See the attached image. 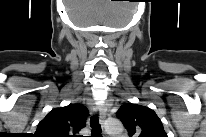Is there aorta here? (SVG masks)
<instances>
[{"label": "aorta", "instance_id": "obj_1", "mask_svg": "<svg viewBox=\"0 0 206 137\" xmlns=\"http://www.w3.org/2000/svg\"><path fill=\"white\" fill-rule=\"evenodd\" d=\"M106 131L110 135H120L123 132V125L121 122H110L106 126Z\"/></svg>", "mask_w": 206, "mask_h": 137}]
</instances>
